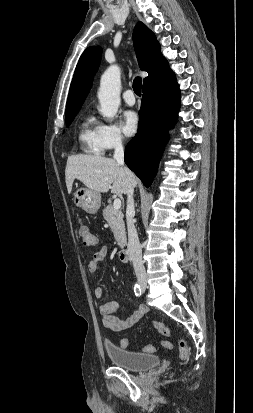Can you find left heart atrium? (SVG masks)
Masks as SVG:
<instances>
[{"label":"left heart atrium","instance_id":"39dd6f15","mask_svg":"<svg viewBox=\"0 0 253 413\" xmlns=\"http://www.w3.org/2000/svg\"><path fill=\"white\" fill-rule=\"evenodd\" d=\"M121 128L127 136L134 135L139 128V117L134 111H126L123 114Z\"/></svg>","mask_w":253,"mask_h":413}]
</instances>
